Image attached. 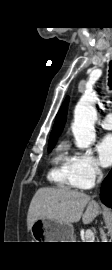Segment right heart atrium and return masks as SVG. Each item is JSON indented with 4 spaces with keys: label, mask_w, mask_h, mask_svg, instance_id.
<instances>
[{
    "label": "right heart atrium",
    "mask_w": 112,
    "mask_h": 270,
    "mask_svg": "<svg viewBox=\"0 0 112 270\" xmlns=\"http://www.w3.org/2000/svg\"><path fill=\"white\" fill-rule=\"evenodd\" d=\"M71 169L75 185L79 189L90 188L103 174L99 162L90 151H74Z\"/></svg>",
    "instance_id": "d8ad5b80"
}]
</instances>
